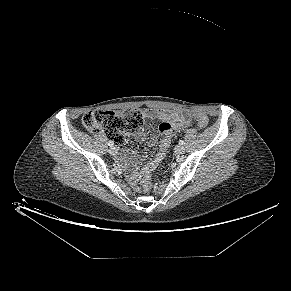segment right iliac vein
Wrapping results in <instances>:
<instances>
[{
    "label": "right iliac vein",
    "instance_id": "63e3f726",
    "mask_svg": "<svg viewBox=\"0 0 291 291\" xmlns=\"http://www.w3.org/2000/svg\"><path fill=\"white\" fill-rule=\"evenodd\" d=\"M109 153H110L111 155H115V154L117 153V149H116L115 147H111V148L109 149Z\"/></svg>",
    "mask_w": 291,
    "mask_h": 291
}]
</instances>
